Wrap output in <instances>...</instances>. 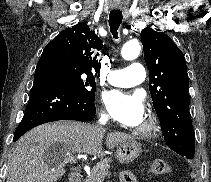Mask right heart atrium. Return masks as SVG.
Segmentation results:
<instances>
[{"label": "right heart atrium", "instance_id": "obj_1", "mask_svg": "<svg viewBox=\"0 0 211 182\" xmlns=\"http://www.w3.org/2000/svg\"><path fill=\"white\" fill-rule=\"evenodd\" d=\"M100 117H101L102 120H107L108 119V115L105 112H103V111L100 113Z\"/></svg>", "mask_w": 211, "mask_h": 182}]
</instances>
